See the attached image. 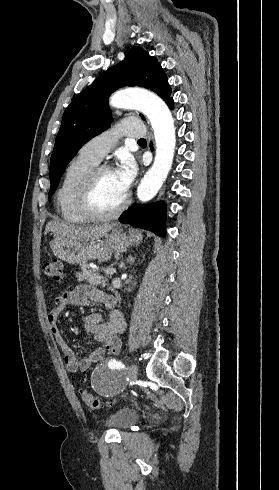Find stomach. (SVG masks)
<instances>
[{
  "instance_id": "stomach-1",
  "label": "stomach",
  "mask_w": 279,
  "mask_h": 490,
  "mask_svg": "<svg viewBox=\"0 0 279 490\" xmlns=\"http://www.w3.org/2000/svg\"><path fill=\"white\" fill-rule=\"evenodd\" d=\"M117 228H121L120 224H116ZM103 238V236H102ZM105 240H90V242H73L68 238H60L55 236L50 242V248L59 260L67 262V264H85L89 260H98L105 262L109 260L111 254H120L127 246L133 242H141L142 236L138 230H129V234H123L120 230H114V226L110 232L104 236Z\"/></svg>"
}]
</instances>
